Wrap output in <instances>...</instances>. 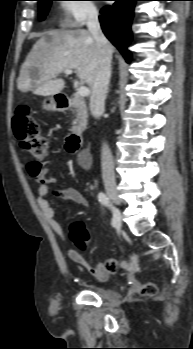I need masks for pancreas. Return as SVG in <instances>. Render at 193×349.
Returning a JSON list of instances; mask_svg holds the SVG:
<instances>
[{"instance_id": "obj_1", "label": "pancreas", "mask_w": 193, "mask_h": 349, "mask_svg": "<svg viewBox=\"0 0 193 349\" xmlns=\"http://www.w3.org/2000/svg\"><path fill=\"white\" fill-rule=\"evenodd\" d=\"M70 111L75 114L76 118L73 120L72 131H83L87 126L88 110L85 100L79 94H75L72 98V107Z\"/></svg>"}]
</instances>
